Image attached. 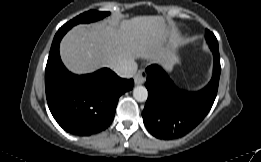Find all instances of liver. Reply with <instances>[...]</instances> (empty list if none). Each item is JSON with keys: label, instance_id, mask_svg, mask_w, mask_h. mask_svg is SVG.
Listing matches in <instances>:
<instances>
[{"label": "liver", "instance_id": "1", "mask_svg": "<svg viewBox=\"0 0 261 162\" xmlns=\"http://www.w3.org/2000/svg\"><path fill=\"white\" fill-rule=\"evenodd\" d=\"M169 26L161 16H137L113 19L93 25H78L69 31L60 44L61 59L75 74H86L100 67L113 69L137 58L170 66L174 61L165 46Z\"/></svg>", "mask_w": 261, "mask_h": 162}]
</instances>
